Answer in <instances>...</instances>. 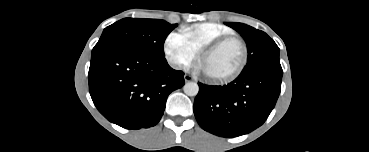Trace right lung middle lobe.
I'll return each instance as SVG.
<instances>
[{
	"label": "right lung middle lobe",
	"instance_id": "right-lung-middle-lobe-1",
	"mask_svg": "<svg viewBox=\"0 0 369 152\" xmlns=\"http://www.w3.org/2000/svg\"><path fill=\"white\" fill-rule=\"evenodd\" d=\"M175 27L177 24L164 20L122 19L104 29L92 57L115 49H131L164 59L165 39Z\"/></svg>",
	"mask_w": 369,
	"mask_h": 152
}]
</instances>
